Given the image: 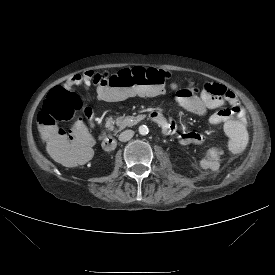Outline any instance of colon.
Instances as JSON below:
<instances>
[{"label":"colon","mask_w":275,"mask_h":275,"mask_svg":"<svg viewBox=\"0 0 275 275\" xmlns=\"http://www.w3.org/2000/svg\"><path fill=\"white\" fill-rule=\"evenodd\" d=\"M169 73L155 68H134L115 75L97 73L93 76L94 83L99 87L101 99L123 102L134 97L158 96L165 89V81ZM82 110V101L74 88L57 86L51 90L39 114L40 122L45 126L48 153L60 159L73 150L78 131L72 129L70 135L60 128L59 122H69L74 115ZM86 113H89L85 109Z\"/></svg>","instance_id":"1"}]
</instances>
